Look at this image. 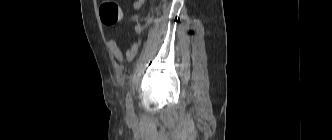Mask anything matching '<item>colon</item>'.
Instances as JSON below:
<instances>
[{
    "mask_svg": "<svg viewBox=\"0 0 332 140\" xmlns=\"http://www.w3.org/2000/svg\"><path fill=\"white\" fill-rule=\"evenodd\" d=\"M100 16L105 25L113 26L121 21L122 11L113 0H103L100 5Z\"/></svg>",
    "mask_w": 332,
    "mask_h": 140,
    "instance_id": "obj_1",
    "label": "colon"
}]
</instances>
